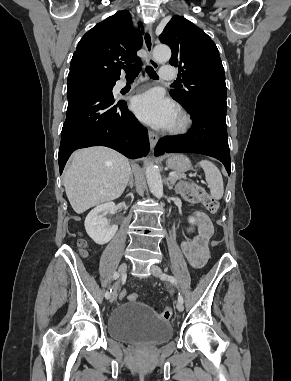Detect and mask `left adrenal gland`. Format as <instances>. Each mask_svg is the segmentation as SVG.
I'll return each instance as SVG.
<instances>
[{
  "instance_id": "left-adrenal-gland-1",
  "label": "left adrenal gland",
  "mask_w": 291,
  "mask_h": 381,
  "mask_svg": "<svg viewBox=\"0 0 291 381\" xmlns=\"http://www.w3.org/2000/svg\"><path fill=\"white\" fill-rule=\"evenodd\" d=\"M166 184H167V186H168V188L170 189V190H172L173 189V184L172 183H169V178H166Z\"/></svg>"
}]
</instances>
